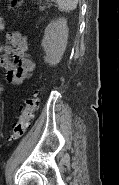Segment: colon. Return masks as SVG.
Returning a JSON list of instances; mask_svg holds the SVG:
<instances>
[{
    "mask_svg": "<svg viewBox=\"0 0 119 185\" xmlns=\"http://www.w3.org/2000/svg\"><path fill=\"white\" fill-rule=\"evenodd\" d=\"M21 6V1L12 0L11 9L17 10ZM6 17L1 18L0 27L4 28ZM39 103V91L37 89L33 90L32 93L24 100L21 106L20 113L14 122L11 132L8 136L10 142L19 140L28 127L34 116V111L37 109Z\"/></svg>",
    "mask_w": 119,
    "mask_h": 185,
    "instance_id": "5ec220e1",
    "label": "colon"
}]
</instances>
